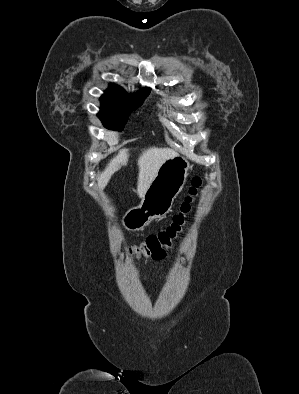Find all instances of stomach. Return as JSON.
Here are the masks:
<instances>
[{
    "mask_svg": "<svg viewBox=\"0 0 299 394\" xmlns=\"http://www.w3.org/2000/svg\"><path fill=\"white\" fill-rule=\"evenodd\" d=\"M190 168L189 163L178 156L166 160L144 194L141 204L124 214L123 226L129 231H139L153 220L168 214L185 185Z\"/></svg>",
    "mask_w": 299,
    "mask_h": 394,
    "instance_id": "0dacf381",
    "label": "stomach"
}]
</instances>
